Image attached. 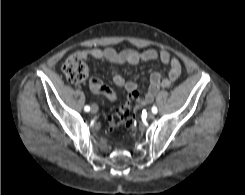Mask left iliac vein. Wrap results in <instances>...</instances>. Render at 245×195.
Masks as SVG:
<instances>
[{
	"mask_svg": "<svg viewBox=\"0 0 245 195\" xmlns=\"http://www.w3.org/2000/svg\"><path fill=\"white\" fill-rule=\"evenodd\" d=\"M148 118L149 119H153L154 118V113L153 112H149L148 113Z\"/></svg>",
	"mask_w": 245,
	"mask_h": 195,
	"instance_id": "1",
	"label": "left iliac vein"
}]
</instances>
